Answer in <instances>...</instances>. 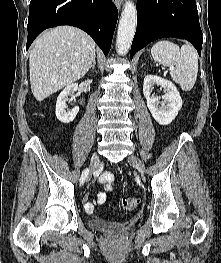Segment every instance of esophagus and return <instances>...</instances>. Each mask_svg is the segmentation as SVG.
I'll list each match as a JSON object with an SVG mask.
<instances>
[{"instance_id":"1","label":"esophagus","mask_w":221,"mask_h":263,"mask_svg":"<svg viewBox=\"0 0 221 263\" xmlns=\"http://www.w3.org/2000/svg\"><path fill=\"white\" fill-rule=\"evenodd\" d=\"M115 6L120 9L122 6V0H113Z\"/></svg>"}]
</instances>
